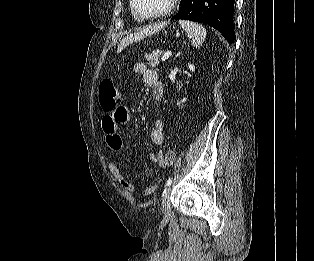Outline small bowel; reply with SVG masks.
Returning <instances> with one entry per match:
<instances>
[{
	"mask_svg": "<svg viewBox=\"0 0 314 261\" xmlns=\"http://www.w3.org/2000/svg\"><path fill=\"white\" fill-rule=\"evenodd\" d=\"M133 72L143 78L146 85L152 89V97L154 100H161L163 97V85L159 80V76L156 71L148 69L144 63H135L133 66ZM131 120V113L125 107L118 109H109L108 115L102 119V128L106 134V142L110 149L114 151L121 150L123 148L122 137L118 133L119 127H124ZM150 141L154 145H161L164 142V124L161 119L155 121L153 128L150 131ZM164 153L159 151L157 153L150 154L149 158L152 162L156 163L159 167H163ZM109 170L111 174L118 180L121 187L127 192H133L135 190L134 183L126 177L121 169L116 164H109ZM154 191L153 187L146 188L144 194L148 195Z\"/></svg>",
	"mask_w": 314,
	"mask_h": 261,
	"instance_id": "c3829d8e",
	"label": "small bowel"
}]
</instances>
